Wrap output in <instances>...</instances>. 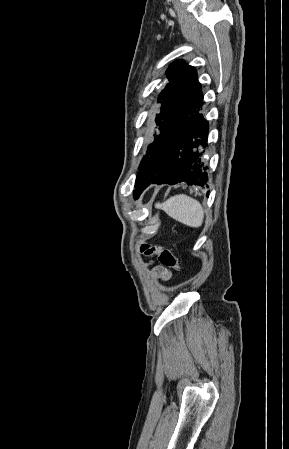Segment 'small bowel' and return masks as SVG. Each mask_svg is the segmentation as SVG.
I'll list each match as a JSON object with an SVG mask.
<instances>
[{
    "mask_svg": "<svg viewBox=\"0 0 289 449\" xmlns=\"http://www.w3.org/2000/svg\"><path fill=\"white\" fill-rule=\"evenodd\" d=\"M152 275L162 281H168L171 278V272L166 267L160 265L153 268Z\"/></svg>",
    "mask_w": 289,
    "mask_h": 449,
    "instance_id": "c3829d8e",
    "label": "small bowel"
}]
</instances>
